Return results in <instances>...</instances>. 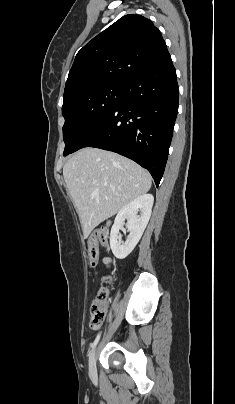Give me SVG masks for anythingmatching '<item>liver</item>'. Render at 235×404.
<instances>
[{"instance_id":"obj_1","label":"liver","mask_w":235,"mask_h":404,"mask_svg":"<svg viewBox=\"0 0 235 404\" xmlns=\"http://www.w3.org/2000/svg\"><path fill=\"white\" fill-rule=\"evenodd\" d=\"M63 176L84 237L151 188V175L134 161L98 148H84L64 165Z\"/></svg>"}]
</instances>
